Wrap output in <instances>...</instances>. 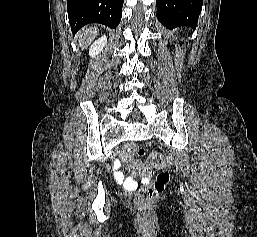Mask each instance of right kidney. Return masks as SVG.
<instances>
[{
	"mask_svg": "<svg viewBox=\"0 0 257 237\" xmlns=\"http://www.w3.org/2000/svg\"><path fill=\"white\" fill-rule=\"evenodd\" d=\"M107 44V37L104 35L101 38L97 39L89 49L90 57L94 58L98 55L106 46Z\"/></svg>",
	"mask_w": 257,
	"mask_h": 237,
	"instance_id": "ca27d5eb",
	"label": "right kidney"
}]
</instances>
